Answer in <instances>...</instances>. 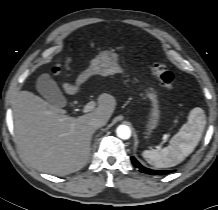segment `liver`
<instances>
[{
  "label": "liver",
  "instance_id": "obj_1",
  "mask_svg": "<svg viewBox=\"0 0 218 210\" xmlns=\"http://www.w3.org/2000/svg\"><path fill=\"white\" fill-rule=\"evenodd\" d=\"M68 94L80 91V85L63 84ZM116 106L110 94L98 98V106L82 116L65 115L30 91H21L13 105L15 136L27 160L38 170L63 176L84 167L90 157L94 129L92 118L109 120Z\"/></svg>",
  "mask_w": 218,
  "mask_h": 210
}]
</instances>
